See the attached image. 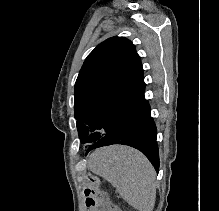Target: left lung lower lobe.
Wrapping results in <instances>:
<instances>
[{"label":"left lung lower lobe","mask_w":219,"mask_h":211,"mask_svg":"<svg viewBox=\"0 0 219 211\" xmlns=\"http://www.w3.org/2000/svg\"><path fill=\"white\" fill-rule=\"evenodd\" d=\"M156 138V125L143 91L124 112L114 129L90 146L87 152L107 145H129L147 156L158 172L159 154Z\"/></svg>","instance_id":"1"}]
</instances>
